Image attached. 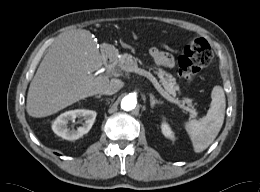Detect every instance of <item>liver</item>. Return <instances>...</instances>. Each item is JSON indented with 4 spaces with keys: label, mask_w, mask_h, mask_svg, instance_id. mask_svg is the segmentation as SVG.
Here are the masks:
<instances>
[{
    "label": "liver",
    "mask_w": 260,
    "mask_h": 192,
    "mask_svg": "<svg viewBox=\"0 0 260 192\" xmlns=\"http://www.w3.org/2000/svg\"><path fill=\"white\" fill-rule=\"evenodd\" d=\"M103 60L89 31L76 30L60 36L30 83L27 113L36 118L46 117L101 93L109 79L105 75L95 76L93 72L102 67Z\"/></svg>",
    "instance_id": "obj_1"
}]
</instances>
